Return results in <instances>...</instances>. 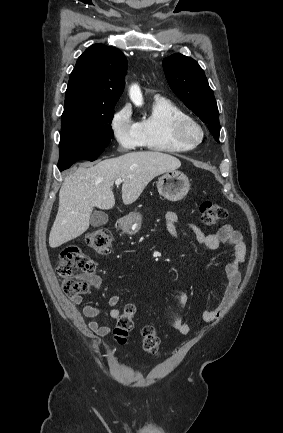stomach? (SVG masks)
<instances>
[{"label": "stomach", "instance_id": "1", "mask_svg": "<svg viewBox=\"0 0 283 433\" xmlns=\"http://www.w3.org/2000/svg\"><path fill=\"white\" fill-rule=\"evenodd\" d=\"M157 188L167 200H181L186 196L190 188V180L186 174L180 170H169L160 176ZM141 214L139 212H129L126 217L121 219V229L127 235H135L141 229Z\"/></svg>", "mask_w": 283, "mask_h": 433}]
</instances>
